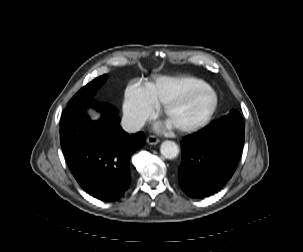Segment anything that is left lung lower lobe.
<instances>
[{
  "mask_svg": "<svg viewBox=\"0 0 303 252\" xmlns=\"http://www.w3.org/2000/svg\"><path fill=\"white\" fill-rule=\"evenodd\" d=\"M244 130H201L181 142L178 181L190 197L221 189L233 175L243 148Z\"/></svg>",
  "mask_w": 303,
  "mask_h": 252,
  "instance_id": "0a47b994",
  "label": "left lung lower lobe"
}]
</instances>
